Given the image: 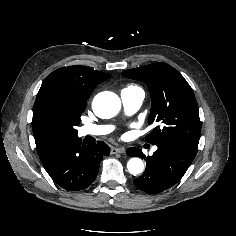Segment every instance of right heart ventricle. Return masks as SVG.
I'll return each instance as SVG.
<instances>
[{
	"label": "right heart ventricle",
	"instance_id": "1",
	"mask_svg": "<svg viewBox=\"0 0 236 236\" xmlns=\"http://www.w3.org/2000/svg\"><path fill=\"white\" fill-rule=\"evenodd\" d=\"M139 87L134 86V85H130L126 88V90H133V89H138Z\"/></svg>",
	"mask_w": 236,
	"mask_h": 236
}]
</instances>
